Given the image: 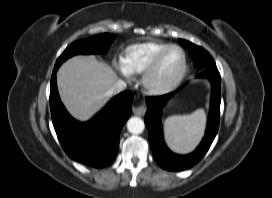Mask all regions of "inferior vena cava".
<instances>
[{
	"instance_id": "1",
	"label": "inferior vena cava",
	"mask_w": 272,
	"mask_h": 198,
	"mask_svg": "<svg viewBox=\"0 0 272 198\" xmlns=\"http://www.w3.org/2000/svg\"><path fill=\"white\" fill-rule=\"evenodd\" d=\"M126 87H127L126 82H124L123 80H117L115 82V84L113 85V87L111 89H109L106 94L108 96H112V95L118 94L121 91L125 90Z\"/></svg>"
}]
</instances>
